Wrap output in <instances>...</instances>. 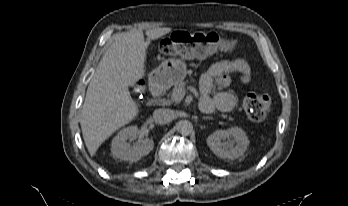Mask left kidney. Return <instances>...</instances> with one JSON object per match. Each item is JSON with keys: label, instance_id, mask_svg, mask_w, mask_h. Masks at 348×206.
<instances>
[{"label": "left kidney", "instance_id": "1", "mask_svg": "<svg viewBox=\"0 0 348 206\" xmlns=\"http://www.w3.org/2000/svg\"><path fill=\"white\" fill-rule=\"evenodd\" d=\"M226 139L228 141L223 142ZM207 145L220 158L236 159L246 152L249 139L243 129L232 127L213 132L207 138Z\"/></svg>", "mask_w": 348, "mask_h": 206}]
</instances>
